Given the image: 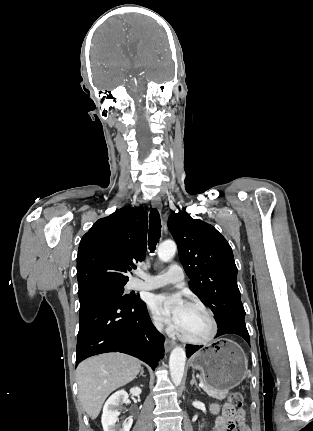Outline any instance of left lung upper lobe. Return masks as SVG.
<instances>
[{
	"mask_svg": "<svg viewBox=\"0 0 313 431\" xmlns=\"http://www.w3.org/2000/svg\"><path fill=\"white\" fill-rule=\"evenodd\" d=\"M168 228L178 247L191 290L213 311L218 326L244 318L237 267L226 239L210 224L184 211L169 216Z\"/></svg>",
	"mask_w": 313,
	"mask_h": 431,
	"instance_id": "obj_1",
	"label": "left lung upper lobe"
}]
</instances>
